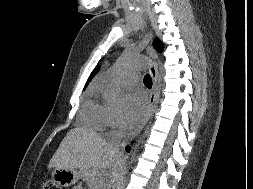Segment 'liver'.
Segmentation results:
<instances>
[{
	"label": "liver",
	"instance_id": "6515ba94",
	"mask_svg": "<svg viewBox=\"0 0 253 189\" xmlns=\"http://www.w3.org/2000/svg\"><path fill=\"white\" fill-rule=\"evenodd\" d=\"M118 160V152L96 132L70 130L52 156L48 167L80 169L90 189L103 186L102 171Z\"/></svg>",
	"mask_w": 253,
	"mask_h": 189
}]
</instances>
